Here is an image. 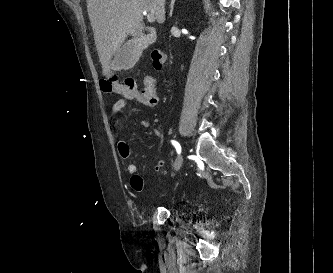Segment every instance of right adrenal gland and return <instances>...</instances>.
Here are the masks:
<instances>
[{
	"mask_svg": "<svg viewBox=\"0 0 333 273\" xmlns=\"http://www.w3.org/2000/svg\"><path fill=\"white\" fill-rule=\"evenodd\" d=\"M176 0H171V4H170V17H172L173 15V10H174V4H175Z\"/></svg>",
	"mask_w": 333,
	"mask_h": 273,
	"instance_id": "1",
	"label": "right adrenal gland"
}]
</instances>
